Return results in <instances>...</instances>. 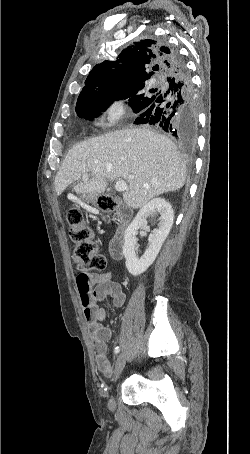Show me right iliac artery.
<instances>
[{
    "instance_id": "right-iliac-artery-1",
    "label": "right iliac artery",
    "mask_w": 250,
    "mask_h": 454,
    "mask_svg": "<svg viewBox=\"0 0 250 454\" xmlns=\"http://www.w3.org/2000/svg\"><path fill=\"white\" fill-rule=\"evenodd\" d=\"M119 352H120V348H119L118 346H117V347H115V349H114V353H115V354H118Z\"/></svg>"
}]
</instances>
